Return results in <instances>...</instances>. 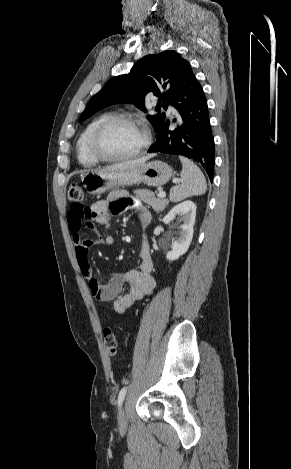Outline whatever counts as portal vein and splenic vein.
Returning <instances> with one entry per match:
<instances>
[{
    "label": "portal vein and splenic vein",
    "instance_id": "portal-vein-and-splenic-vein-1",
    "mask_svg": "<svg viewBox=\"0 0 291 469\" xmlns=\"http://www.w3.org/2000/svg\"><path fill=\"white\" fill-rule=\"evenodd\" d=\"M173 182L177 183V182H179V181H178L177 179H175ZM158 196H159L160 198H164V197L166 196V193L163 192V191H161V192H159Z\"/></svg>",
    "mask_w": 291,
    "mask_h": 469
}]
</instances>
